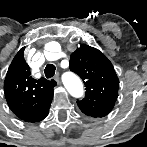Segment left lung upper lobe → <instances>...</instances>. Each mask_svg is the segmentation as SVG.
I'll return each instance as SVG.
<instances>
[{
	"label": "left lung upper lobe",
	"instance_id": "obj_1",
	"mask_svg": "<svg viewBox=\"0 0 147 147\" xmlns=\"http://www.w3.org/2000/svg\"><path fill=\"white\" fill-rule=\"evenodd\" d=\"M70 70L81 77L86 87L85 97L77 100L87 116H106L118 97L119 80L108 58L98 49L81 45L70 57Z\"/></svg>",
	"mask_w": 147,
	"mask_h": 147
}]
</instances>
